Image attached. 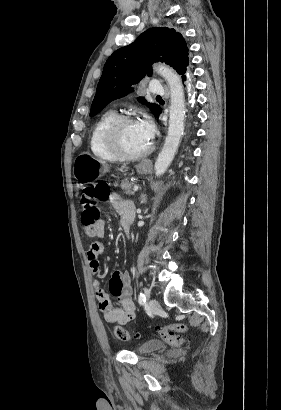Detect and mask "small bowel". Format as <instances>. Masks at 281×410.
<instances>
[{
    "label": "small bowel",
    "mask_w": 281,
    "mask_h": 410,
    "mask_svg": "<svg viewBox=\"0 0 281 410\" xmlns=\"http://www.w3.org/2000/svg\"><path fill=\"white\" fill-rule=\"evenodd\" d=\"M112 209L121 217V224L129 226L134 218L133 204L122 197L113 194L110 197ZM106 230L105 220L101 219L96 225V234L103 237ZM105 252V245L101 240L93 241L87 252L89 266L94 274L100 270L99 257ZM95 295L99 302L100 310L108 323H126L135 319L136 308L131 298V277L126 271L116 270L109 281L111 296L117 301L118 306L112 304L110 295L101 288L100 281L94 280Z\"/></svg>",
    "instance_id": "1"
}]
</instances>
